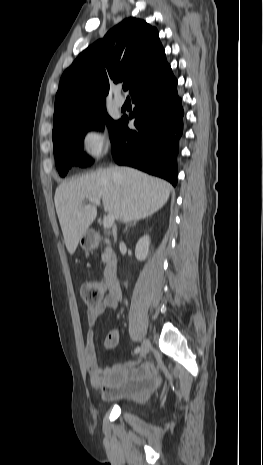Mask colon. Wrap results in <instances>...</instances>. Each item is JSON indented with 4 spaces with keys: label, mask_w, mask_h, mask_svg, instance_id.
Returning <instances> with one entry per match:
<instances>
[{
    "label": "colon",
    "mask_w": 263,
    "mask_h": 465,
    "mask_svg": "<svg viewBox=\"0 0 263 465\" xmlns=\"http://www.w3.org/2000/svg\"><path fill=\"white\" fill-rule=\"evenodd\" d=\"M80 294L88 306H94L100 303L105 295V286L94 280H88L82 283Z\"/></svg>",
    "instance_id": "5ec220e1"
}]
</instances>
